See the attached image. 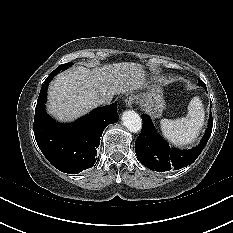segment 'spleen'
I'll return each mask as SVG.
<instances>
[{"label": "spleen", "mask_w": 233, "mask_h": 233, "mask_svg": "<svg viewBox=\"0 0 233 233\" xmlns=\"http://www.w3.org/2000/svg\"><path fill=\"white\" fill-rule=\"evenodd\" d=\"M205 112L202 101L194 97L188 105V114L185 117L160 121L161 131L172 144L182 147L195 142L204 125Z\"/></svg>", "instance_id": "1"}]
</instances>
